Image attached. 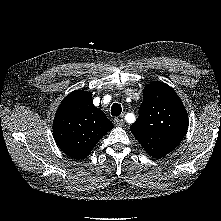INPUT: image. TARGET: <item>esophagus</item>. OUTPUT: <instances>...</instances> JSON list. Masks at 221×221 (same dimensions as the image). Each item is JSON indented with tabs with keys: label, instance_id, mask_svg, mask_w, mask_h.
Returning a JSON list of instances; mask_svg holds the SVG:
<instances>
[{
	"label": "esophagus",
	"instance_id": "obj_1",
	"mask_svg": "<svg viewBox=\"0 0 221 221\" xmlns=\"http://www.w3.org/2000/svg\"><path fill=\"white\" fill-rule=\"evenodd\" d=\"M114 125L115 126H123L124 125V120L122 118H115L114 119Z\"/></svg>",
	"mask_w": 221,
	"mask_h": 221
}]
</instances>
